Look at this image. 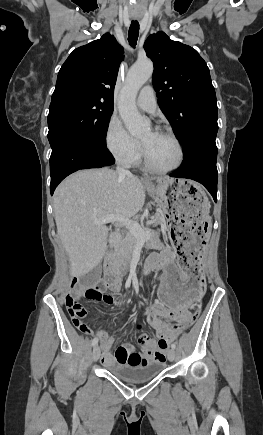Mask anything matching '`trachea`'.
Wrapping results in <instances>:
<instances>
[{
    "label": "trachea",
    "mask_w": 263,
    "mask_h": 435,
    "mask_svg": "<svg viewBox=\"0 0 263 435\" xmlns=\"http://www.w3.org/2000/svg\"><path fill=\"white\" fill-rule=\"evenodd\" d=\"M138 35H139V23L138 21H132L128 32V41L132 47L136 46Z\"/></svg>",
    "instance_id": "3493384b"
}]
</instances>
